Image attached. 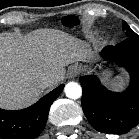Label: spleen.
Returning a JSON list of instances; mask_svg holds the SVG:
<instances>
[{"mask_svg":"<svg viewBox=\"0 0 139 139\" xmlns=\"http://www.w3.org/2000/svg\"><path fill=\"white\" fill-rule=\"evenodd\" d=\"M122 81L121 80H119V81H117V82H115V85L117 86V87H120L121 85H122Z\"/></svg>","mask_w":139,"mask_h":139,"instance_id":"3e777b00","label":"spleen"}]
</instances>
